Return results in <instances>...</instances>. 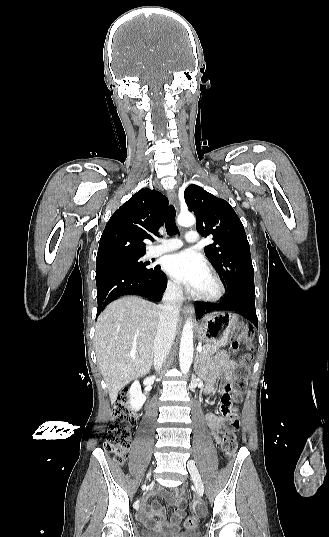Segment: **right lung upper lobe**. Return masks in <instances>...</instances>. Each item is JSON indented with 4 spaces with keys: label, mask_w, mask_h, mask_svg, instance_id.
<instances>
[{
    "label": "right lung upper lobe",
    "mask_w": 329,
    "mask_h": 537,
    "mask_svg": "<svg viewBox=\"0 0 329 537\" xmlns=\"http://www.w3.org/2000/svg\"><path fill=\"white\" fill-rule=\"evenodd\" d=\"M168 199L160 192L141 189L110 217L100 238L96 265L142 257L144 239L153 241L164 224Z\"/></svg>",
    "instance_id": "obj_1"
}]
</instances>
